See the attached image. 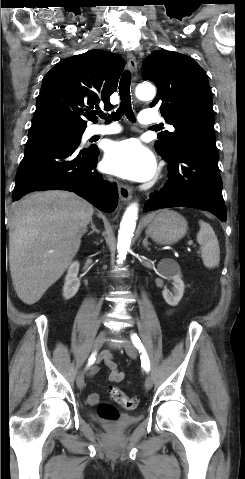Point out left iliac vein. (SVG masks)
<instances>
[{"instance_id": "4c4485c4", "label": "left iliac vein", "mask_w": 245, "mask_h": 479, "mask_svg": "<svg viewBox=\"0 0 245 479\" xmlns=\"http://www.w3.org/2000/svg\"><path fill=\"white\" fill-rule=\"evenodd\" d=\"M124 347H125V350H126V353L128 354V356H130L131 358H136L137 357V349L132 344L131 341L124 339ZM152 384H153L152 378L149 375H147V377L145 378V382H144L145 388L147 390L151 389Z\"/></svg>"}]
</instances>
